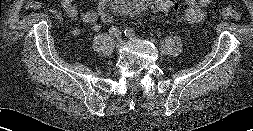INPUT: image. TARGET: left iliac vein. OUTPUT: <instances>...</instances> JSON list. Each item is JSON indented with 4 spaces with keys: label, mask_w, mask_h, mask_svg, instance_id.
I'll return each instance as SVG.
<instances>
[{
    "label": "left iliac vein",
    "mask_w": 253,
    "mask_h": 131,
    "mask_svg": "<svg viewBox=\"0 0 253 131\" xmlns=\"http://www.w3.org/2000/svg\"><path fill=\"white\" fill-rule=\"evenodd\" d=\"M128 38H130V39H135V38H137L135 35H132V36H128Z\"/></svg>",
    "instance_id": "left-iliac-vein-1"
}]
</instances>
